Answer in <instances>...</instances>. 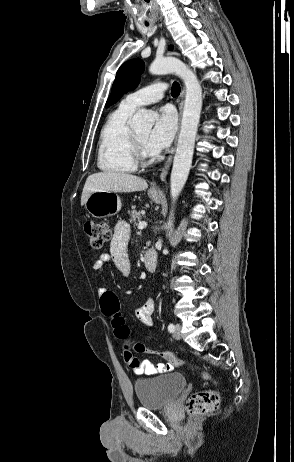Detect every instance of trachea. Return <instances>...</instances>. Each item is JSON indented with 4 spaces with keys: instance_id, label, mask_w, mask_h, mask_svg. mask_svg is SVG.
<instances>
[{
    "instance_id": "1",
    "label": "trachea",
    "mask_w": 294,
    "mask_h": 462,
    "mask_svg": "<svg viewBox=\"0 0 294 462\" xmlns=\"http://www.w3.org/2000/svg\"><path fill=\"white\" fill-rule=\"evenodd\" d=\"M146 25H148V24H146ZM179 93H180V85H179L178 82H174L172 84L171 94H172V96H177V95H179Z\"/></svg>"
}]
</instances>
